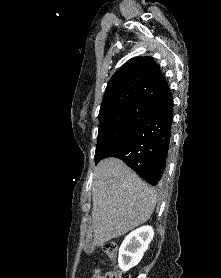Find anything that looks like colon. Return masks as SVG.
Returning a JSON list of instances; mask_svg holds the SVG:
<instances>
[{
	"label": "colon",
	"instance_id": "1",
	"mask_svg": "<svg viewBox=\"0 0 221 278\" xmlns=\"http://www.w3.org/2000/svg\"><path fill=\"white\" fill-rule=\"evenodd\" d=\"M104 251L106 253V255L108 256V258L111 261H116L117 256H118V247L117 244L114 242H107L104 245ZM91 278H129L128 275L119 272L117 270L114 271H102L100 269H96L93 273H92V277Z\"/></svg>",
	"mask_w": 221,
	"mask_h": 278
}]
</instances>
